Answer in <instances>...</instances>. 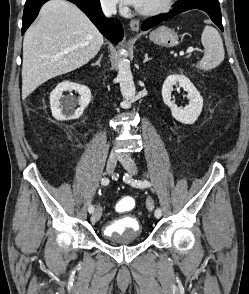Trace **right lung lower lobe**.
Here are the masks:
<instances>
[{
    "label": "right lung lower lobe",
    "mask_w": 249,
    "mask_h": 294,
    "mask_svg": "<svg viewBox=\"0 0 249 294\" xmlns=\"http://www.w3.org/2000/svg\"><path fill=\"white\" fill-rule=\"evenodd\" d=\"M48 0H26L23 19L22 34L37 17L41 6ZM77 5L94 23L98 30L112 43L119 42L123 37V27L118 19H107L101 10L99 0H68Z\"/></svg>",
    "instance_id": "1"
}]
</instances>
